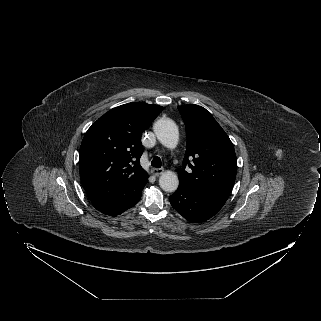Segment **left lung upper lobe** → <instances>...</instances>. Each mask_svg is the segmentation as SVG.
<instances>
[{
	"instance_id": "obj_1",
	"label": "left lung upper lobe",
	"mask_w": 321,
	"mask_h": 321,
	"mask_svg": "<svg viewBox=\"0 0 321 321\" xmlns=\"http://www.w3.org/2000/svg\"><path fill=\"white\" fill-rule=\"evenodd\" d=\"M178 110L187 137L183 168L178 173L179 186L229 196L237 170L231 140L205 108L189 104ZM186 165L192 171H185Z\"/></svg>"
}]
</instances>
